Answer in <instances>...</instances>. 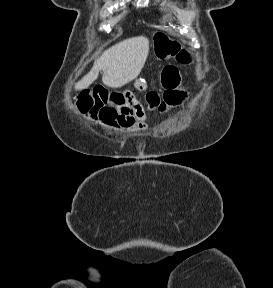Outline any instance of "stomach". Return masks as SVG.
<instances>
[{"label":"stomach","mask_w":273,"mask_h":288,"mask_svg":"<svg viewBox=\"0 0 273 288\" xmlns=\"http://www.w3.org/2000/svg\"><path fill=\"white\" fill-rule=\"evenodd\" d=\"M174 41L166 34L160 33L155 36L153 51L159 60H167L174 56Z\"/></svg>","instance_id":"1"}]
</instances>
